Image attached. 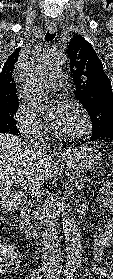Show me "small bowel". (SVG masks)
Listing matches in <instances>:
<instances>
[{
  "label": "small bowel",
  "instance_id": "1",
  "mask_svg": "<svg viewBox=\"0 0 113 279\" xmlns=\"http://www.w3.org/2000/svg\"><path fill=\"white\" fill-rule=\"evenodd\" d=\"M104 204L113 208V193L108 192ZM93 257L97 263H103L107 257V250L113 248V217L108 220L103 229L96 233L92 238ZM92 271L99 276L100 279H113V262H110L108 268L93 267Z\"/></svg>",
  "mask_w": 113,
  "mask_h": 279
}]
</instances>
